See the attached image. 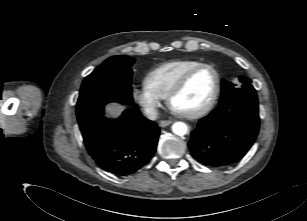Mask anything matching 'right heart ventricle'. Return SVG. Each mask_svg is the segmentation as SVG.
Segmentation results:
<instances>
[{"mask_svg": "<svg viewBox=\"0 0 307 221\" xmlns=\"http://www.w3.org/2000/svg\"><path fill=\"white\" fill-rule=\"evenodd\" d=\"M202 64L197 60H174L162 63L150 70L144 78V86L155 96L165 99L178 80L190 69Z\"/></svg>", "mask_w": 307, "mask_h": 221, "instance_id": "1", "label": "right heart ventricle"}]
</instances>
